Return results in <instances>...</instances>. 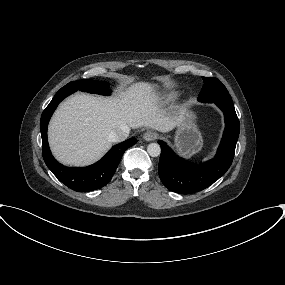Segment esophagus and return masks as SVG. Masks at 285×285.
I'll use <instances>...</instances> for the list:
<instances>
[{"instance_id":"34e87169","label":"esophagus","mask_w":285,"mask_h":285,"mask_svg":"<svg viewBox=\"0 0 285 285\" xmlns=\"http://www.w3.org/2000/svg\"><path fill=\"white\" fill-rule=\"evenodd\" d=\"M157 138V134L154 131L148 130L143 134V139L145 141H153Z\"/></svg>"}]
</instances>
